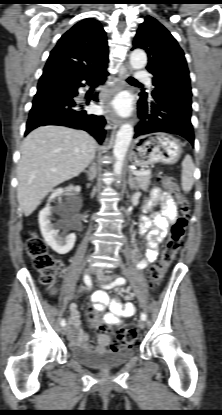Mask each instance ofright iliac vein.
Returning a JSON list of instances; mask_svg holds the SVG:
<instances>
[{"label": "right iliac vein", "instance_id": "63e3f726", "mask_svg": "<svg viewBox=\"0 0 222 415\" xmlns=\"http://www.w3.org/2000/svg\"><path fill=\"white\" fill-rule=\"evenodd\" d=\"M94 272H95V269L93 267H89L85 271L87 275L92 274ZM68 330H69V326H63L60 331L63 335H66L68 333Z\"/></svg>", "mask_w": 222, "mask_h": 415}]
</instances>
